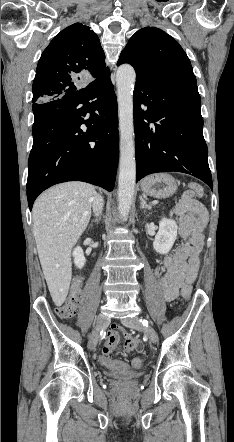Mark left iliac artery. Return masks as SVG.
Masks as SVG:
<instances>
[{
	"instance_id": "obj_1",
	"label": "left iliac artery",
	"mask_w": 234,
	"mask_h": 442,
	"mask_svg": "<svg viewBox=\"0 0 234 442\" xmlns=\"http://www.w3.org/2000/svg\"><path fill=\"white\" fill-rule=\"evenodd\" d=\"M142 322L143 325L148 326V321L147 320H140Z\"/></svg>"
}]
</instances>
